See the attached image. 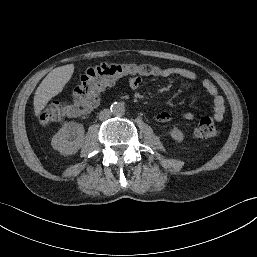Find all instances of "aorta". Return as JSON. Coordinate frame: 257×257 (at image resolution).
<instances>
[{
	"instance_id": "obj_1",
	"label": "aorta",
	"mask_w": 257,
	"mask_h": 257,
	"mask_svg": "<svg viewBox=\"0 0 257 257\" xmlns=\"http://www.w3.org/2000/svg\"><path fill=\"white\" fill-rule=\"evenodd\" d=\"M111 112L114 115H117V116L123 115L125 113V106H124V104L120 103V102H114L111 105Z\"/></svg>"
}]
</instances>
